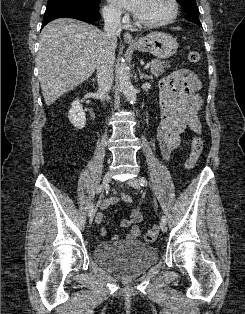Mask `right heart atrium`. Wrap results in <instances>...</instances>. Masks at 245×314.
Instances as JSON below:
<instances>
[{
	"instance_id": "d8ad5b80",
	"label": "right heart atrium",
	"mask_w": 245,
	"mask_h": 314,
	"mask_svg": "<svg viewBox=\"0 0 245 314\" xmlns=\"http://www.w3.org/2000/svg\"><path fill=\"white\" fill-rule=\"evenodd\" d=\"M103 16L109 23L112 24H117L121 20V12L110 5L104 6Z\"/></svg>"
}]
</instances>
